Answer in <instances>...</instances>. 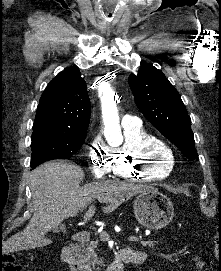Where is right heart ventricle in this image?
Returning <instances> with one entry per match:
<instances>
[{
    "label": "right heart ventricle",
    "mask_w": 221,
    "mask_h": 271,
    "mask_svg": "<svg viewBox=\"0 0 221 271\" xmlns=\"http://www.w3.org/2000/svg\"><path fill=\"white\" fill-rule=\"evenodd\" d=\"M157 140H163L160 136L146 130L139 134L124 139L120 151L122 158H132L129 161H115L110 164L111 172L120 179H135V183H146L155 179H171L173 168L176 166L175 158H165V154H157V158H150L151 155H141V150L160 149L161 152H168L165 144H155ZM164 141V140H163ZM133 158H138V164H134ZM140 158H145L141 163ZM148 158V160L146 159ZM148 161V162H147ZM152 163V165H151Z\"/></svg>",
    "instance_id": "obj_1"
}]
</instances>
